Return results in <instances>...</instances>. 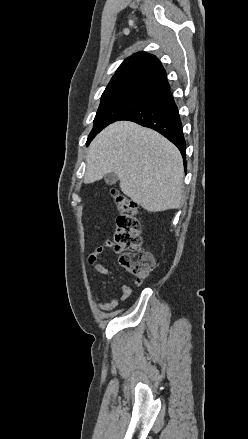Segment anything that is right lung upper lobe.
Segmentation results:
<instances>
[{
    "label": "right lung upper lobe",
    "mask_w": 248,
    "mask_h": 439,
    "mask_svg": "<svg viewBox=\"0 0 248 439\" xmlns=\"http://www.w3.org/2000/svg\"><path fill=\"white\" fill-rule=\"evenodd\" d=\"M169 87L161 62L154 55L138 52L123 61L102 97L117 93L154 97Z\"/></svg>",
    "instance_id": "obj_1"
}]
</instances>
